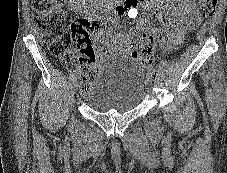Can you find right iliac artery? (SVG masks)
<instances>
[{"label": "right iliac artery", "instance_id": "right-iliac-artery-1", "mask_svg": "<svg viewBox=\"0 0 227 173\" xmlns=\"http://www.w3.org/2000/svg\"><path fill=\"white\" fill-rule=\"evenodd\" d=\"M77 75H78V69H74V70L71 72L69 79H70V80H74V79L77 77Z\"/></svg>", "mask_w": 227, "mask_h": 173}]
</instances>
